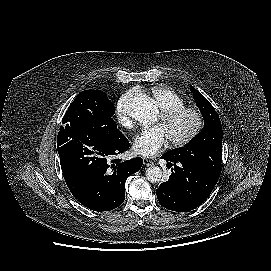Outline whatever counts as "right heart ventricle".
Instances as JSON below:
<instances>
[{
    "mask_svg": "<svg viewBox=\"0 0 271 271\" xmlns=\"http://www.w3.org/2000/svg\"><path fill=\"white\" fill-rule=\"evenodd\" d=\"M151 94L161 110L185 105L184 99L178 93L166 87H154L151 89Z\"/></svg>",
    "mask_w": 271,
    "mask_h": 271,
    "instance_id": "obj_1",
    "label": "right heart ventricle"
}]
</instances>
